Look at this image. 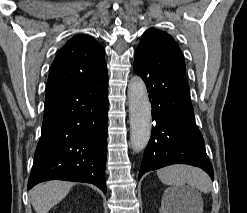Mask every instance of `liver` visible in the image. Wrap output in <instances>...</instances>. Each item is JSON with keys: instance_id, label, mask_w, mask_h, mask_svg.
I'll use <instances>...</instances> for the list:
<instances>
[{"instance_id": "liver-1", "label": "liver", "mask_w": 247, "mask_h": 213, "mask_svg": "<svg viewBox=\"0 0 247 213\" xmlns=\"http://www.w3.org/2000/svg\"><path fill=\"white\" fill-rule=\"evenodd\" d=\"M74 183L48 181L35 186L31 192V203L36 213H48L69 193Z\"/></svg>"}]
</instances>
